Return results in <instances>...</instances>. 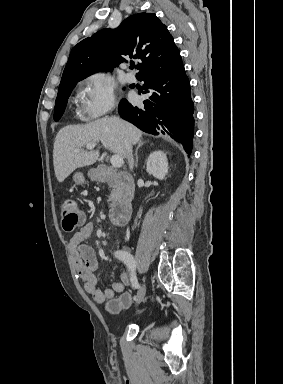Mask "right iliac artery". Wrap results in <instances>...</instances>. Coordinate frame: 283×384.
Listing matches in <instances>:
<instances>
[{
  "label": "right iliac artery",
  "instance_id": "obj_1",
  "mask_svg": "<svg viewBox=\"0 0 283 384\" xmlns=\"http://www.w3.org/2000/svg\"><path fill=\"white\" fill-rule=\"evenodd\" d=\"M114 255L119 260L124 262V264H126V266L129 268V270L131 272V284H132V286L135 289H140L141 286H140V284L138 282V279H137V276H136V273H135L136 265H135L134 257L130 253H128L127 251H123V250L115 251Z\"/></svg>",
  "mask_w": 283,
  "mask_h": 384
}]
</instances>
